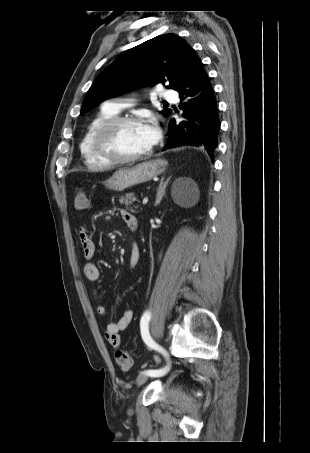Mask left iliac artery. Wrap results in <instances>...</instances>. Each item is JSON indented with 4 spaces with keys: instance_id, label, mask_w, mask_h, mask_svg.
Wrapping results in <instances>:
<instances>
[{
    "instance_id": "obj_1",
    "label": "left iliac artery",
    "mask_w": 310,
    "mask_h": 453,
    "mask_svg": "<svg viewBox=\"0 0 310 453\" xmlns=\"http://www.w3.org/2000/svg\"><path fill=\"white\" fill-rule=\"evenodd\" d=\"M150 318H151V314L149 311H146L141 318L140 328H141L142 339L149 347L162 353L164 356H167L165 350L160 345L155 343L149 334L148 323H149ZM168 370H169V365H167L163 368H160V369H156V370H154V369L147 370V371H145V373L148 376L160 377V376L165 375L168 372Z\"/></svg>"
}]
</instances>
